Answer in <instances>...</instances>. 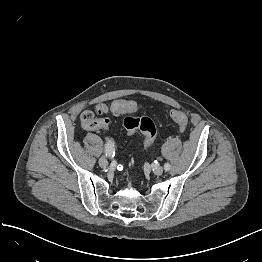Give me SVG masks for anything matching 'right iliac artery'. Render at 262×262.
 <instances>
[{"instance_id": "82829eb1", "label": "right iliac artery", "mask_w": 262, "mask_h": 262, "mask_svg": "<svg viewBox=\"0 0 262 262\" xmlns=\"http://www.w3.org/2000/svg\"><path fill=\"white\" fill-rule=\"evenodd\" d=\"M105 155L108 157H113L115 155V145L114 141L107 139L105 143Z\"/></svg>"}]
</instances>
